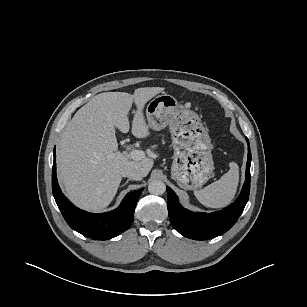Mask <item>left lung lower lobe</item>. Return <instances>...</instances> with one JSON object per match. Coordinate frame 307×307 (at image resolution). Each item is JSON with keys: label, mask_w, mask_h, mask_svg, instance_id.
I'll return each instance as SVG.
<instances>
[{"label": "left lung lower lobe", "mask_w": 307, "mask_h": 307, "mask_svg": "<svg viewBox=\"0 0 307 307\" xmlns=\"http://www.w3.org/2000/svg\"><path fill=\"white\" fill-rule=\"evenodd\" d=\"M248 143L245 183L234 203L221 211L212 213H194L183 208L174 191L167 187L168 213L173 227L183 236L194 240H207L227 232L243 212L250 193L251 151Z\"/></svg>", "instance_id": "obj_1"}]
</instances>
